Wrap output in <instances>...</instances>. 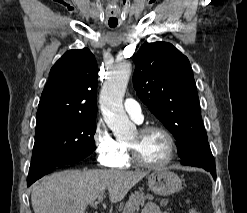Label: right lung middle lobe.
Instances as JSON below:
<instances>
[{"label": "right lung middle lobe", "mask_w": 247, "mask_h": 213, "mask_svg": "<svg viewBox=\"0 0 247 213\" xmlns=\"http://www.w3.org/2000/svg\"><path fill=\"white\" fill-rule=\"evenodd\" d=\"M96 117L48 115L36 118L29 177H41L55 164L75 163L95 150Z\"/></svg>", "instance_id": "1"}]
</instances>
